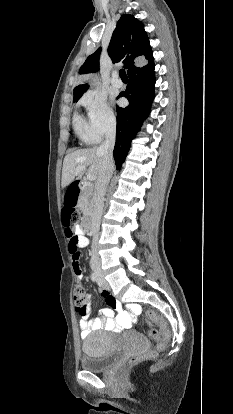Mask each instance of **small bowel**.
Instances as JSON below:
<instances>
[{"mask_svg": "<svg viewBox=\"0 0 233 414\" xmlns=\"http://www.w3.org/2000/svg\"><path fill=\"white\" fill-rule=\"evenodd\" d=\"M76 240L78 248H84L88 245V238L81 232L76 231ZM72 257L73 262V271L75 272L76 280H81L82 278V269L80 268V252L74 251ZM79 284L78 282L76 283ZM103 297L106 300V303L110 306L104 310L102 316L93 318L91 314L92 306L90 305L91 297L88 295V302H84L82 305L76 306V311L81 312L80 315V329L81 336L86 337L91 331L97 329H106V330H120V329H129L132 328L137 322V314L140 312L141 308L136 301H131L126 305L125 310L122 308L120 301L109 293L103 292ZM95 313L94 311L92 312Z\"/></svg>", "mask_w": 233, "mask_h": 414, "instance_id": "small-bowel-1", "label": "small bowel"}]
</instances>
